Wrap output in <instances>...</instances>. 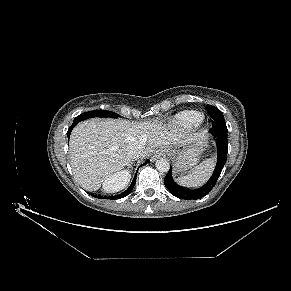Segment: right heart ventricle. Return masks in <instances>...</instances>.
Masks as SVG:
<instances>
[{
    "mask_svg": "<svg viewBox=\"0 0 291 291\" xmlns=\"http://www.w3.org/2000/svg\"><path fill=\"white\" fill-rule=\"evenodd\" d=\"M203 120L202 113L198 111H183L172 119V124L181 129H192L199 125Z\"/></svg>",
    "mask_w": 291,
    "mask_h": 291,
    "instance_id": "1",
    "label": "right heart ventricle"
}]
</instances>
